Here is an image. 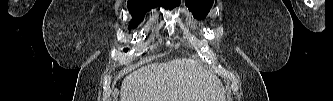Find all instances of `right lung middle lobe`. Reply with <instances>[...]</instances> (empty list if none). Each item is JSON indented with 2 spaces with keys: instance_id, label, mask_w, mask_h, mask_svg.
Segmentation results:
<instances>
[{
  "instance_id": "dd1d6c3e",
  "label": "right lung middle lobe",
  "mask_w": 333,
  "mask_h": 101,
  "mask_svg": "<svg viewBox=\"0 0 333 101\" xmlns=\"http://www.w3.org/2000/svg\"><path fill=\"white\" fill-rule=\"evenodd\" d=\"M157 6H163L165 8L172 9L178 5L152 1H128V9L133 16V20L131 21L132 26L135 27L137 24H139L140 21L143 20L145 13L151 10V8ZM125 50L127 51V49Z\"/></svg>"
}]
</instances>
